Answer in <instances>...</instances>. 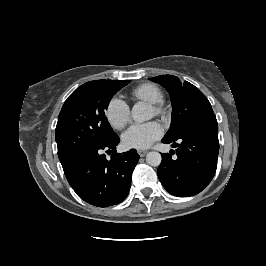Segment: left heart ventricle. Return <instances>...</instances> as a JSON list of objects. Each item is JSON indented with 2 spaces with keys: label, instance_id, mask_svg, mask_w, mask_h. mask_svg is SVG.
Listing matches in <instances>:
<instances>
[{
  "label": "left heart ventricle",
  "instance_id": "1",
  "mask_svg": "<svg viewBox=\"0 0 266 266\" xmlns=\"http://www.w3.org/2000/svg\"><path fill=\"white\" fill-rule=\"evenodd\" d=\"M151 114L154 115V110L151 108Z\"/></svg>",
  "mask_w": 266,
  "mask_h": 266
}]
</instances>
